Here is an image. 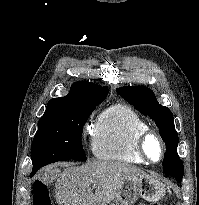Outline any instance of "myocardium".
Here are the masks:
<instances>
[{
    "label": "myocardium",
    "mask_w": 199,
    "mask_h": 205,
    "mask_svg": "<svg viewBox=\"0 0 199 205\" xmlns=\"http://www.w3.org/2000/svg\"><path fill=\"white\" fill-rule=\"evenodd\" d=\"M151 138H154L158 142L161 149L160 158L157 161L152 160L148 154L147 145L149 139ZM135 149L138 156L148 164H157L161 162L165 156L166 151L165 143L162 136L157 131L149 128L138 135L136 139Z\"/></svg>",
    "instance_id": "myocardium-1"
}]
</instances>
